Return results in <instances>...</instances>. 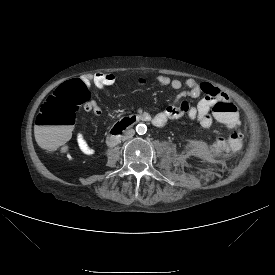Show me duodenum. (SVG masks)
I'll use <instances>...</instances> for the list:
<instances>
[{
  "instance_id": "duodenum-1",
  "label": "duodenum",
  "mask_w": 275,
  "mask_h": 275,
  "mask_svg": "<svg viewBox=\"0 0 275 275\" xmlns=\"http://www.w3.org/2000/svg\"><path fill=\"white\" fill-rule=\"evenodd\" d=\"M143 121L142 117L140 116H129L121 119L120 121L116 122L106 138V144L108 146H114L118 143L121 135L130 127L135 125L137 122Z\"/></svg>"
}]
</instances>
